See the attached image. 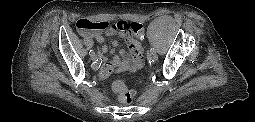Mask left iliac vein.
<instances>
[{
  "label": "left iliac vein",
  "mask_w": 255,
  "mask_h": 122,
  "mask_svg": "<svg viewBox=\"0 0 255 122\" xmlns=\"http://www.w3.org/2000/svg\"><path fill=\"white\" fill-rule=\"evenodd\" d=\"M149 57L153 62L158 60V55L156 53L150 54Z\"/></svg>",
  "instance_id": "obj_1"
}]
</instances>
